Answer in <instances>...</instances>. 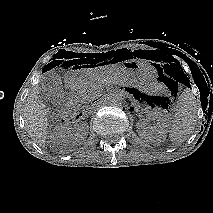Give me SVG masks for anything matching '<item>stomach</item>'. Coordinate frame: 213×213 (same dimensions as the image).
<instances>
[{
    "mask_svg": "<svg viewBox=\"0 0 213 213\" xmlns=\"http://www.w3.org/2000/svg\"><path fill=\"white\" fill-rule=\"evenodd\" d=\"M118 76L123 80L136 83L142 88L151 85L156 79V70L145 60H129L124 63H112L110 65H99L89 70L70 73L67 81L70 84L82 86L89 80L98 78Z\"/></svg>",
    "mask_w": 213,
    "mask_h": 213,
    "instance_id": "stomach-1",
    "label": "stomach"
}]
</instances>
